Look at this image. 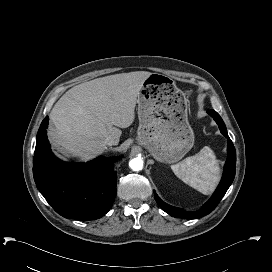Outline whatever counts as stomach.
I'll use <instances>...</instances> for the list:
<instances>
[{
    "label": "stomach",
    "instance_id": "1",
    "mask_svg": "<svg viewBox=\"0 0 272 272\" xmlns=\"http://www.w3.org/2000/svg\"><path fill=\"white\" fill-rule=\"evenodd\" d=\"M138 142L163 163L181 160L194 145L188 122L187 102L175 81L151 73L143 82L138 98Z\"/></svg>",
    "mask_w": 272,
    "mask_h": 272
}]
</instances>
